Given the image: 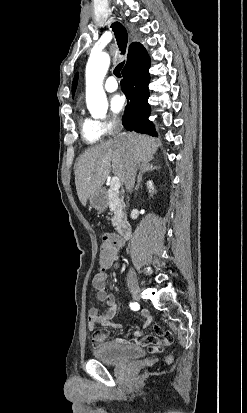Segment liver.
Returning a JSON list of instances; mask_svg holds the SVG:
<instances>
[{"label":"liver","mask_w":247,"mask_h":413,"mask_svg":"<svg viewBox=\"0 0 247 413\" xmlns=\"http://www.w3.org/2000/svg\"><path fill=\"white\" fill-rule=\"evenodd\" d=\"M127 144L131 146V150L126 148ZM160 144V140L153 136L125 132V140L115 142L114 138H108L96 146L86 148L78 156L75 166L76 190L84 207L90 194L99 190L104 184L109 172H113L121 182H124L126 162L130 154L136 164H142L143 160L154 158L157 146Z\"/></svg>","instance_id":"liver-1"}]
</instances>
